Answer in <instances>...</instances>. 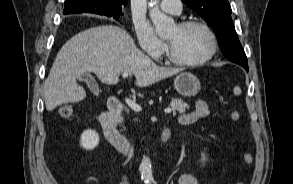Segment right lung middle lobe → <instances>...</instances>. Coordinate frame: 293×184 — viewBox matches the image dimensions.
Returning <instances> with one entry per match:
<instances>
[{
	"instance_id": "right-lung-middle-lobe-1",
	"label": "right lung middle lobe",
	"mask_w": 293,
	"mask_h": 184,
	"mask_svg": "<svg viewBox=\"0 0 293 184\" xmlns=\"http://www.w3.org/2000/svg\"><path fill=\"white\" fill-rule=\"evenodd\" d=\"M103 15H106L108 17H113L114 19L117 20L122 15V12H115V11H112V12H103Z\"/></svg>"
}]
</instances>
